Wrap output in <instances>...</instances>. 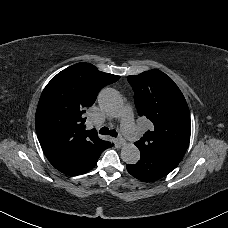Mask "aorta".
I'll return each mask as SVG.
<instances>
[{
    "label": "aorta",
    "instance_id": "obj_1",
    "mask_svg": "<svg viewBox=\"0 0 228 228\" xmlns=\"http://www.w3.org/2000/svg\"><path fill=\"white\" fill-rule=\"evenodd\" d=\"M98 103L100 108L112 117L119 116L123 108L121 96L112 88L101 90ZM121 159L127 164H136L140 159V151L133 143H126L121 149Z\"/></svg>",
    "mask_w": 228,
    "mask_h": 228
}]
</instances>
